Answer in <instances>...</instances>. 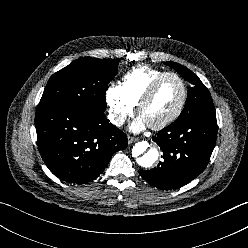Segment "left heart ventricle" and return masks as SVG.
I'll list each match as a JSON object with an SVG mask.
<instances>
[{"mask_svg": "<svg viewBox=\"0 0 248 248\" xmlns=\"http://www.w3.org/2000/svg\"><path fill=\"white\" fill-rule=\"evenodd\" d=\"M182 97L180 82L172 76L166 77L157 88L150 102L144 107L141 116L148 124L157 123L178 107Z\"/></svg>", "mask_w": 248, "mask_h": 248, "instance_id": "left-heart-ventricle-1", "label": "left heart ventricle"}]
</instances>
